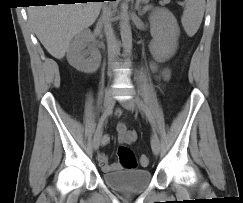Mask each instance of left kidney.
<instances>
[{
    "label": "left kidney",
    "instance_id": "obj_1",
    "mask_svg": "<svg viewBox=\"0 0 243 203\" xmlns=\"http://www.w3.org/2000/svg\"><path fill=\"white\" fill-rule=\"evenodd\" d=\"M150 32L153 37L149 49L159 61L169 59L177 49L179 27L172 13L164 9L154 11L150 17Z\"/></svg>",
    "mask_w": 243,
    "mask_h": 203
}]
</instances>
